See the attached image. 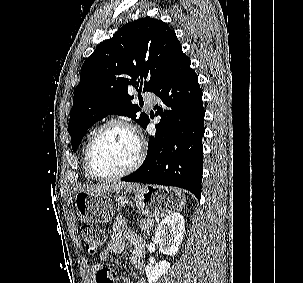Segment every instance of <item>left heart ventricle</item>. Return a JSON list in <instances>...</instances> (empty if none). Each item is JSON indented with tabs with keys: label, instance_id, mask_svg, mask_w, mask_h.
Masks as SVG:
<instances>
[{
	"label": "left heart ventricle",
	"instance_id": "obj_1",
	"mask_svg": "<svg viewBox=\"0 0 303 283\" xmlns=\"http://www.w3.org/2000/svg\"><path fill=\"white\" fill-rule=\"evenodd\" d=\"M137 154V142L132 133L111 126L99 137L93 151V163L100 174L109 175L127 168Z\"/></svg>",
	"mask_w": 303,
	"mask_h": 283
}]
</instances>
